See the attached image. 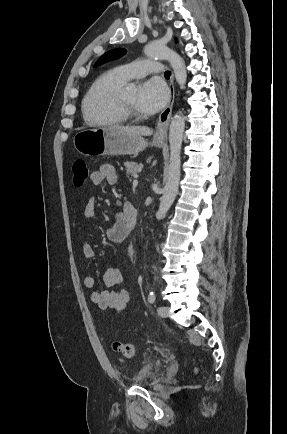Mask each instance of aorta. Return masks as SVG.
<instances>
[{
	"mask_svg": "<svg viewBox=\"0 0 287 434\" xmlns=\"http://www.w3.org/2000/svg\"><path fill=\"white\" fill-rule=\"evenodd\" d=\"M144 52L148 57L167 60L176 78L180 88H185L187 80V72L184 60L181 56L163 45L160 42H152L145 46ZM185 128V119L181 112L176 113L170 123L169 129V144H170V159L167 181L164 187L163 195L160 199L159 209L156 213V218L161 220L165 217L167 211L173 204L179 188L180 181V166H181V146Z\"/></svg>",
	"mask_w": 287,
	"mask_h": 434,
	"instance_id": "762f6f07",
	"label": "aorta"
}]
</instances>
